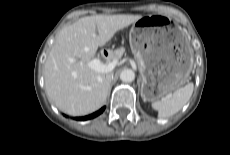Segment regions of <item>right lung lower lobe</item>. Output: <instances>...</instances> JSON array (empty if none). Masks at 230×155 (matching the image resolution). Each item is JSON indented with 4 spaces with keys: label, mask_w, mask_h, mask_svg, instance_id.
I'll use <instances>...</instances> for the list:
<instances>
[{
    "label": "right lung lower lobe",
    "mask_w": 230,
    "mask_h": 155,
    "mask_svg": "<svg viewBox=\"0 0 230 155\" xmlns=\"http://www.w3.org/2000/svg\"><path fill=\"white\" fill-rule=\"evenodd\" d=\"M104 109H105V107L101 108L99 111H97L91 115L84 116V117H76L75 119L76 120H88V119L94 118V117L100 115L104 111Z\"/></svg>",
    "instance_id": "right-lung-lower-lobe-1"
}]
</instances>
